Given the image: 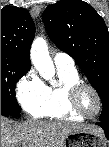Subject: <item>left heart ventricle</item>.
<instances>
[{"label": "left heart ventricle", "mask_w": 109, "mask_h": 147, "mask_svg": "<svg viewBox=\"0 0 109 147\" xmlns=\"http://www.w3.org/2000/svg\"><path fill=\"white\" fill-rule=\"evenodd\" d=\"M79 106L87 115H93L97 110V99L94 94L84 89L79 96Z\"/></svg>", "instance_id": "left-heart-ventricle-1"}]
</instances>
